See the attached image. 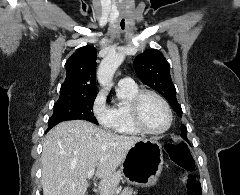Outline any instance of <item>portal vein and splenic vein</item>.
<instances>
[{"label": "portal vein and splenic vein", "mask_w": 240, "mask_h": 195, "mask_svg": "<svg viewBox=\"0 0 240 195\" xmlns=\"http://www.w3.org/2000/svg\"><path fill=\"white\" fill-rule=\"evenodd\" d=\"M93 173H94V169H91L89 175H93Z\"/></svg>", "instance_id": "1"}]
</instances>
